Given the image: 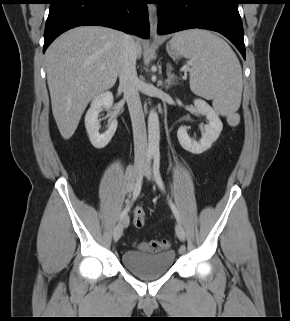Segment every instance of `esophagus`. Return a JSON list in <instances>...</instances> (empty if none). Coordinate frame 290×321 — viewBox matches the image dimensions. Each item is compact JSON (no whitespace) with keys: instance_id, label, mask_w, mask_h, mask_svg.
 I'll return each mask as SVG.
<instances>
[{"instance_id":"obj_1","label":"esophagus","mask_w":290,"mask_h":321,"mask_svg":"<svg viewBox=\"0 0 290 321\" xmlns=\"http://www.w3.org/2000/svg\"><path fill=\"white\" fill-rule=\"evenodd\" d=\"M148 15L150 23V36L151 38H157V8L155 5L148 4Z\"/></svg>"}]
</instances>
